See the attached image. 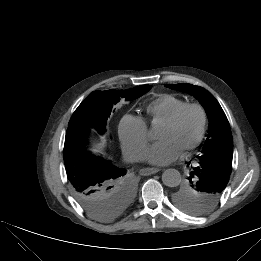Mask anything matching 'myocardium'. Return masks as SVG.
Listing matches in <instances>:
<instances>
[{"label": "myocardium", "mask_w": 261, "mask_h": 261, "mask_svg": "<svg viewBox=\"0 0 261 261\" xmlns=\"http://www.w3.org/2000/svg\"><path fill=\"white\" fill-rule=\"evenodd\" d=\"M190 109H196L199 112L201 123L194 140L182 150L184 154L197 148L204 138L208 120L206 109L203 105L197 102L186 103L182 107H180L168 120L164 122V125L175 126L180 122L184 114Z\"/></svg>", "instance_id": "1"}]
</instances>
